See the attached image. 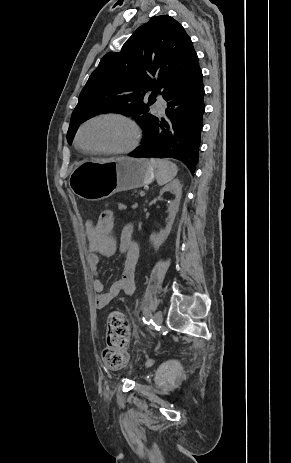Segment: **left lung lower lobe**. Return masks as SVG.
Segmentation results:
<instances>
[{
    "mask_svg": "<svg viewBox=\"0 0 291 463\" xmlns=\"http://www.w3.org/2000/svg\"><path fill=\"white\" fill-rule=\"evenodd\" d=\"M204 94L199 67L164 97L166 118L153 119L141 145L129 156L174 158L182 161L193 174L199 160Z\"/></svg>",
    "mask_w": 291,
    "mask_h": 463,
    "instance_id": "1",
    "label": "left lung lower lobe"
}]
</instances>
